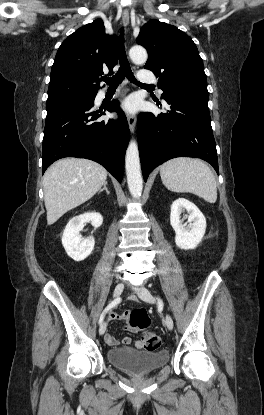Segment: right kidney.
Masks as SVG:
<instances>
[{
    "label": "right kidney",
    "instance_id": "right-kidney-1",
    "mask_svg": "<svg viewBox=\"0 0 264 415\" xmlns=\"http://www.w3.org/2000/svg\"><path fill=\"white\" fill-rule=\"evenodd\" d=\"M86 221H90L93 227L98 228L103 223V217L97 212H89L73 217L63 232L62 245L67 255L75 261L86 259L94 249L95 240L93 236L83 239L79 235Z\"/></svg>",
    "mask_w": 264,
    "mask_h": 415
}]
</instances>
